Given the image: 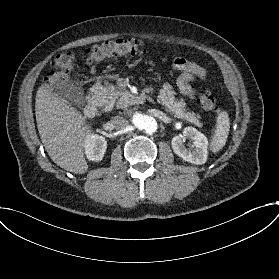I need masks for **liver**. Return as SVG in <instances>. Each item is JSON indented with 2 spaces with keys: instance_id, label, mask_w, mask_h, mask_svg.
Wrapping results in <instances>:
<instances>
[{
  "instance_id": "obj_1",
  "label": "liver",
  "mask_w": 279,
  "mask_h": 279,
  "mask_svg": "<svg viewBox=\"0 0 279 279\" xmlns=\"http://www.w3.org/2000/svg\"><path fill=\"white\" fill-rule=\"evenodd\" d=\"M35 115L41 141L52 161L66 171L85 173L88 165L83 148L89 127L81 112L41 85L36 94Z\"/></svg>"
}]
</instances>
